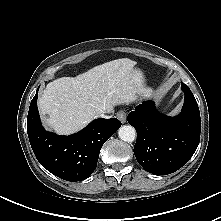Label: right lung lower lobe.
I'll list each match as a JSON object with an SVG mask.
<instances>
[{"label":"right lung lower lobe","instance_id":"right-lung-lower-lobe-1","mask_svg":"<svg viewBox=\"0 0 221 221\" xmlns=\"http://www.w3.org/2000/svg\"><path fill=\"white\" fill-rule=\"evenodd\" d=\"M37 95L31 101L27 133L39 163L52 174L67 181L87 179L96 169L103 144L119 129L116 118H99L71 136L47 132L41 125Z\"/></svg>","mask_w":221,"mask_h":221}]
</instances>
